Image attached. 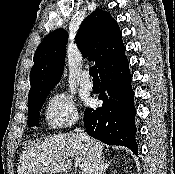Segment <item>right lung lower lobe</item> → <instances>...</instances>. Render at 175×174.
Instances as JSON below:
<instances>
[{
	"label": "right lung lower lobe",
	"mask_w": 175,
	"mask_h": 174,
	"mask_svg": "<svg viewBox=\"0 0 175 174\" xmlns=\"http://www.w3.org/2000/svg\"><path fill=\"white\" fill-rule=\"evenodd\" d=\"M103 105L97 109L87 108L84 113L86 131L92 137L108 144L122 145L135 154L136 125L134 94L127 57L122 55L106 66L100 73Z\"/></svg>",
	"instance_id": "1"
}]
</instances>
